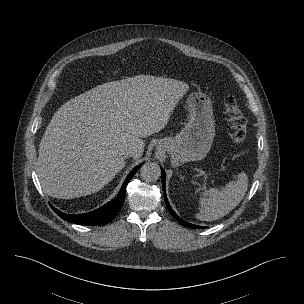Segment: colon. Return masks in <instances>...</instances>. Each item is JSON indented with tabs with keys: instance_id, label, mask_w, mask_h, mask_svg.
<instances>
[{
	"instance_id": "1",
	"label": "colon",
	"mask_w": 304,
	"mask_h": 304,
	"mask_svg": "<svg viewBox=\"0 0 304 304\" xmlns=\"http://www.w3.org/2000/svg\"><path fill=\"white\" fill-rule=\"evenodd\" d=\"M224 118L230 140L236 146L242 145L247 136V121L239 102L232 96L224 101Z\"/></svg>"
}]
</instances>
